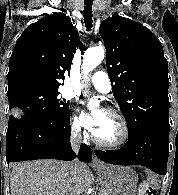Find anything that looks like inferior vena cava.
<instances>
[{
  "label": "inferior vena cava",
  "instance_id": "obj_1",
  "mask_svg": "<svg viewBox=\"0 0 178 195\" xmlns=\"http://www.w3.org/2000/svg\"><path fill=\"white\" fill-rule=\"evenodd\" d=\"M80 142H81V138L79 136H75L72 139L71 143H72V147H73L74 150H78L79 149ZM70 169H71V174L73 176H76L78 174V172H79V169H80V163L77 162V161L72 162Z\"/></svg>",
  "mask_w": 178,
  "mask_h": 195
}]
</instances>
